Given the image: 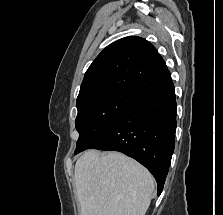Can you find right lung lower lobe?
Returning a JSON list of instances; mask_svg holds the SVG:
<instances>
[{
    "instance_id": "98d812e1",
    "label": "right lung lower lobe",
    "mask_w": 223,
    "mask_h": 215,
    "mask_svg": "<svg viewBox=\"0 0 223 215\" xmlns=\"http://www.w3.org/2000/svg\"><path fill=\"white\" fill-rule=\"evenodd\" d=\"M173 82L143 94L89 149L119 151L144 165L163 190L175 147Z\"/></svg>"
}]
</instances>
